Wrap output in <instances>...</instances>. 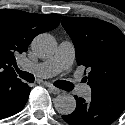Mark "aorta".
<instances>
[{"label":"aorta","mask_w":125,"mask_h":125,"mask_svg":"<svg viewBox=\"0 0 125 125\" xmlns=\"http://www.w3.org/2000/svg\"><path fill=\"white\" fill-rule=\"evenodd\" d=\"M56 48L54 38L49 34H40L32 42V50L40 57L51 56ZM54 106L62 115L71 114L76 108V101L72 95H58L54 99Z\"/></svg>","instance_id":"aorta-1"}]
</instances>
